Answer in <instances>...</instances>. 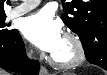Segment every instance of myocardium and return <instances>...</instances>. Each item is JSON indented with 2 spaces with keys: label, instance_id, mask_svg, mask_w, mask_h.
Returning a JSON list of instances; mask_svg holds the SVG:
<instances>
[{
  "label": "myocardium",
  "instance_id": "1",
  "mask_svg": "<svg viewBox=\"0 0 107 75\" xmlns=\"http://www.w3.org/2000/svg\"><path fill=\"white\" fill-rule=\"evenodd\" d=\"M64 38L69 41L72 47L73 55L68 60H59L53 54L50 57V62L57 68H72L81 64L85 59V51L80 38L73 32L67 31Z\"/></svg>",
  "mask_w": 107,
  "mask_h": 75
}]
</instances>
